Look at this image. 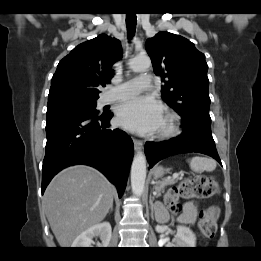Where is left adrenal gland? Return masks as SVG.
Returning <instances> with one entry per match:
<instances>
[{"label": "left adrenal gland", "mask_w": 261, "mask_h": 261, "mask_svg": "<svg viewBox=\"0 0 261 261\" xmlns=\"http://www.w3.org/2000/svg\"><path fill=\"white\" fill-rule=\"evenodd\" d=\"M153 200H154V197L150 194L149 202H150V205H151V216H152V217H153V213H154V204H153Z\"/></svg>", "instance_id": "1"}]
</instances>
